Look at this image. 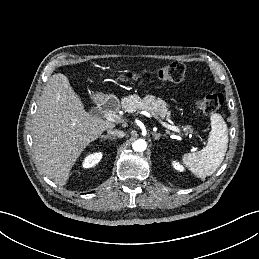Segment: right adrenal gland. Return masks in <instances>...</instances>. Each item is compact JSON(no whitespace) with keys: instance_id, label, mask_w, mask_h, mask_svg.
Wrapping results in <instances>:
<instances>
[{"instance_id":"2a0ac1e0","label":"right adrenal gland","mask_w":259,"mask_h":259,"mask_svg":"<svg viewBox=\"0 0 259 259\" xmlns=\"http://www.w3.org/2000/svg\"><path fill=\"white\" fill-rule=\"evenodd\" d=\"M107 139L114 140L115 137H112V136H110V135H102V136H101V140H107Z\"/></svg>"}]
</instances>
